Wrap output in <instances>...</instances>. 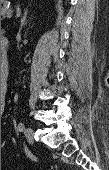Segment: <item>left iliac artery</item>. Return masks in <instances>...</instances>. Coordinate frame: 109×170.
Listing matches in <instances>:
<instances>
[{"mask_svg":"<svg viewBox=\"0 0 109 170\" xmlns=\"http://www.w3.org/2000/svg\"><path fill=\"white\" fill-rule=\"evenodd\" d=\"M25 126L23 123H19L18 126H17V129L22 132L24 130Z\"/></svg>","mask_w":109,"mask_h":170,"instance_id":"obj_1","label":"left iliac artery"}]
</instances>
